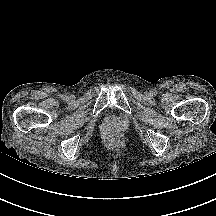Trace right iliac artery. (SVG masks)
Here are the masks:
<instances>
[{"label":"right iliac artery","instance_id":"1","mask_svg":"<svg viewBox=\"0 0 216 216\" xmlns=\"http://www.w3.org/2000/svg\"><path fill=\"white\" fill-rule=\"evenodd\" d=\"M68 97L67 96H64V99H67Z\"/></svg>","mask_w":216,"mask_h":216}]
</instances>
